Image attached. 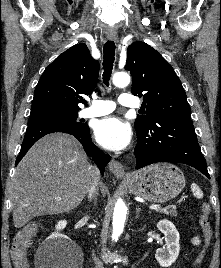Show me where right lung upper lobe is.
<instances>
[{
    "label": "right lung upper lobe",
    "instance_id": "right-lung-upper-lobe-1",
    "mask_svg": "<svg viewBox=\"0 0 221 268\" xmlns=\"http://www.w3.org/2000/svg\"><path fill=\"white\" fill-rule=\"evenodd\" d=\"M99 67L84 43L60 54L39 79L30 117L78 113V104L85 102L81 95L91 94L97 85Z\"/></svg>",
    "mask_w": 221,
    "mask_h": 268
}]
</instances>
